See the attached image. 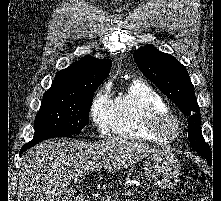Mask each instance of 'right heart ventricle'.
<instances>
[{"label": "right heart ventricle", "mask_w": 221, "mask_h": 201, "mask_svg": "<svg viewBox=\"0 0 221 201\" xmlns=\"http://www.w3.org/2000/svg\"><path fill=\"white\" fill-rule=\"evenodd\" d=\"M168 109L162 96L152 87L143 82H134L126 93L113 99L111 130L121 137L166 143L167 140L146 130L145 121L152 112Z\"/></svg>", "instance_id": "right-heart-ventricle-1"}]
</instances>
